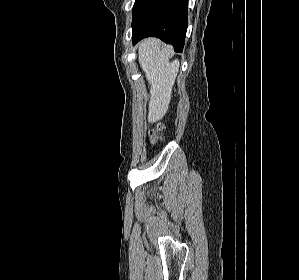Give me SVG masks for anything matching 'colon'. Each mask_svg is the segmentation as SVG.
<instances>
[{
    "mask_svg": "<svg viewBox=\"0 0 299 280\" xmlns=\"http://www.w3.org/2000/svg\"><path fill=\"white\" fill-rule=\"evenodd\" d=\"M162 125H157L150 133V139L153 144L160 142L162 138Z\"/></svg>",
    "mask_w": 299,
    "mask_h": 280,
    "instance_id": "obj_1",
    "label": "colon"
}]
</instances>
